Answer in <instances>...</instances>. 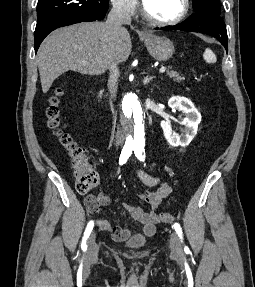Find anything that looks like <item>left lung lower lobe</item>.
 <instances>
[{"mask_svg":"<svg viewBox=\"0 0 255 287\" xmlns=\"http://www.w3.org/2000/svg\"><path fill=\"white\" fill-rule=\"evenodd\" d=\"M158 29V28H156ZM161 30H181L200 32L218 39L227 51V30L220 15L208 11H198L176 26L162 27Z\"/></svg>","mask_w":255,"mask_h":287,"instance_id":"1","label":"left lung lower lobe"}]
</instances>
